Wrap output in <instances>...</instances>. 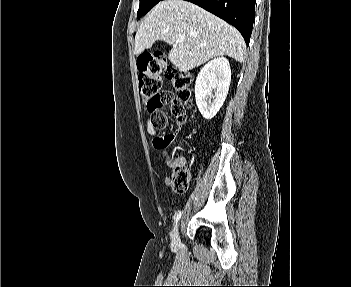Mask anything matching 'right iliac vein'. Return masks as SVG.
Instances as JSON below:
<instances>
[{
  "instance_id": "right-iliac-vein-1",
  "label": "right iliac vein",
  "mask_w": 351,
  "mask_h": 287,
  "mask_svg": "<svg viewBox=\"0 0 351 287\" xmlns=\"http://www.w3.org/2000/svg\"><path fill=\"white\" fill-rule=\"evenodd\" d=\"M180 244V237H179V225H176L172 237V247L177 248Z\"/></svg>"
}]
</instances>
